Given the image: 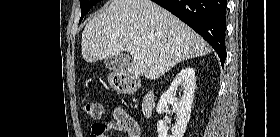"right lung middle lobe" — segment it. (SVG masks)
<instances>
[{"label": "right lung middle lobe", "mask_w": 280, "mask_h": 137, "mask_svg": "<svg viewBox=\"0 0 280 137\" xmlns=\"http://www.w3.org/2000/svg\"><path fill=\"white\" fill-rule=\"evenodd\" d=\"M101 0H81L80 1V7H81V18L80 22L83 19V17L89 12V10Z\"/></svg>", "instance_id": "obj_1"}]
</instances>
